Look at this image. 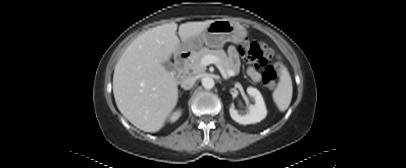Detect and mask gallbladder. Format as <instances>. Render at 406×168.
I'll return each instance as SVG.
<instances>
[{
	"label": "gallbladder",
	"instance_id": "bac80fb5",
	"mask_svg": "<svg viewBox=\"0 0 406 168\" xmlns=\"http://www.w3.org/2000/svg\"><path fill=\"white\" fill-rule=\"evenodd\" d=\"M163 66L165 67V69H166L167 71H172L173 68H174L171 61H165V62L163 63Z\"/></svg>",
	"mask_w": 406,
	"mask_h": 168
}]
</instances>
